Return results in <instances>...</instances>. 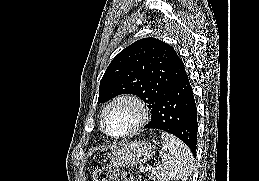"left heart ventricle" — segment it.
Masks as SVG:
<instances>
[{"instance_id": "left-heart-ventricle-1", "label": "left heart ventricle", "mask_w": 259, "mask_h": 181, "mask_svg": "<svg viewBox=\"0 0 259 181\" xmlns=\"http://www.w3.org/2000/svg\"><path fill=\"white\" fill-rule=\"evenodd\" d=\"M137 119L135 108L128 103L112 107L106 116V128L112 134H120L131 128Z\"/></svg>"}]
</instances>
